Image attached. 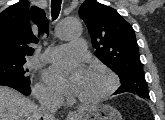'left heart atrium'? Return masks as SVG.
<instances>
[{
    "mask_svg": "<svg viewBox=\"0 0 165 120\" xmlns=\"http://www.w3.org/2000/svg\"><path fill=\"white\" fill-rule=\"evenodd\" d=\"M87 70L79 63L58 64L47 70V82L64 94L76 95Z\"/></svg>",
    "mask_w": 165,
    "mask_h": 120,
    "instance_id": "left-heart-atrium-1",
    "label": "left heart atrium"
}]
</instances>
